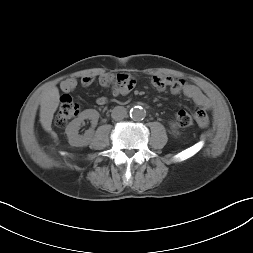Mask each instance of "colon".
I'll list each match as a JSON object with an SVG mask.
<instances>
[{"label": "colon", "instance_id": "5ec220e1", "mask_svg": "<svg viewBox=\"0 0 253 253\" xmlns=\"http://www.w3.org/2000/svg\"><path fill=\"white\" fill-rule=\"evenodd\" d=\"M80 107L71 96L63 95L60 98V105L55 116V124L58 127H64L71 119L78 115ZM175 119L180 127L188 128L194 125V119L190 113L185 110H179L175 114Z\"/></svg>", "mask_w": 253, "mask_h": 253}]
</instances>
